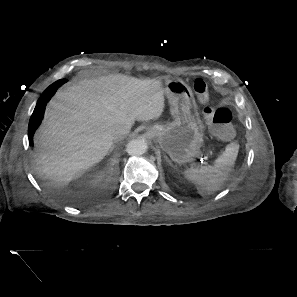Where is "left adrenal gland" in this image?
<instances>
[{
  "mask_svg": "<svg viewBox=\"0 0 297 297\" xmlns=\"http://www.w3.org/2000/svg\"><path fill=\"white\" fill-rule=\"evenodd\" d=\"M167 162L169 163V165H170L171 167L175 168V167L173 166V164H172L169 160H167Z\"/></svg>",
  "mask_w": 297,
  "mask_h": 297,
  "instance_id": "obj_1",
  "label": "left adrenal gland"
}]
</instances>
